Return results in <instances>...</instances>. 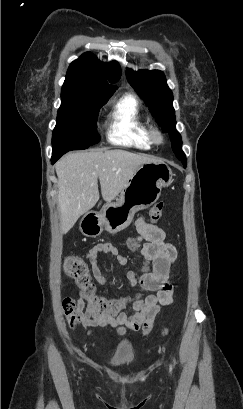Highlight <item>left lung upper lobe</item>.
Returning <instances> with one entry per match:
<instances>
[{
	"instance_id": "5c2ea615",
	"label": "left lung upper lobe",
	"mask_w": 243,
	"mask_h": 409,
	"mask_svg": "<svg viewBox=\"0 0 243 409\" xmlns=\"http://www.w3.org/2000/svg\"><path fill=\"white\" fill-rule=\"evenodd\" d=\"M126 76L130 85L150 108L152 116L162 127L163 132L169 133L176 157L186 166V156L181 149V135L176 130L173 94L166 83L165 75L159 70L134 72L127 69Z\"/></svg>"
}]
</instances>
